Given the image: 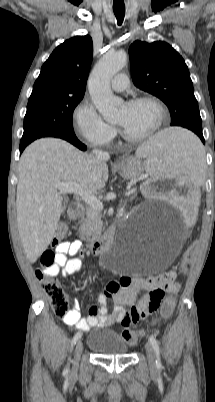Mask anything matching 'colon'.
<instances>
[{
	"instance_id": "1",
	"label": "colon",
	"mask_w": 215,
	"mask_h": 402,
	"mask_svg": "<svg viewBox=\"0 0 215 402\" xmlns=\"http://www.w3.org/2000/svg\"><path fill=\"white\" fill-rule=\"evenodd\" d=\"M66 227L64 225H60L56 231V234L53 239V245L57 244L66 234ZM198 249L197 243H191L190 245H186L184 251L181 254L183 260H194L197 257L196 250ZM55 264V253L52 250H46L40 257V266L41 268L37 270V278L42 283V286L48 295L51 307L53 312L59 316H65L69 311L68 306V297L64 290L62 289L59 282L55 279V276L46 274L45 270L52 267ZM174 275L172 271L163 273L158 277L163 278H171ZM165 293L160 291H156L153 293L151 303L148 307V311L151 313L158 308L162 299L164 298ZM175 291H168V296L165 303L161 309V316L168 317L174 307L175 301ZM135 316L138 315V312L133 311ZM121 337L128 344H135L141 337V333L131 329H125L121 333Z\"/></svg>"
}]
</instances>
